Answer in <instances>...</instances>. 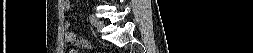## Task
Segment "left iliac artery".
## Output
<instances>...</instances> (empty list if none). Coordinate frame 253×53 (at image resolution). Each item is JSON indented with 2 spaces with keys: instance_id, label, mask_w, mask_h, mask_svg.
<instances>
[{
  "instance_id": "44dca946",
  "label": "left iliac artery",
  "mask_w": 253,
  "mask_h": 53,
  "mask_svg": "<svg viewBox=\"0 0 253 53\" xmlns=\"http://www.w3.org/2000/svg\"><path fill=\"white\" fill-rule=\"evenodd\" d=\"M89 20H90V22H91L92 25H95V23H96V18H95V16H94L93 14H91V15L89 16Z\"/></svg>"
}]
</instances>
